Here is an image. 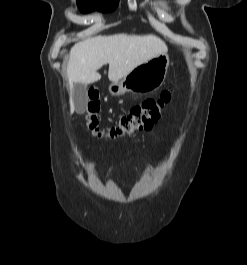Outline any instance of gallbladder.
I'll use <instances>...</instances> for the list:
<instances>
[{"mask_svg": "<svg viewBox=\"0 0 247 265\" xmlns=\"http://www.w3.org/2000/svg\"><path fill=\"white\" fill-rule=\"evenodd\" d=\"M73 99H74L75 111L78 114H83L86 110V106L88 103L86 84L76 83L74 85Z\"/></svg>", "mask_w": 247, "mask_h": 265, "instance_id": "bac80fb5", "label": "gallbladder"}]
</instances>
